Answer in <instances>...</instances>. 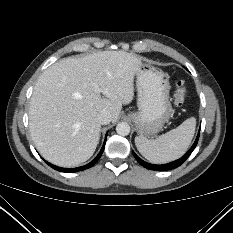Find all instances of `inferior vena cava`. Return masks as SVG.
<instances>
[{
    "label": "inferior vena cava",
    "mask_w": 233,
    "mask_h": 233,
    "mask_svg": "<svg viewBox=\"0 0 233 233\" xmlns=\"http://www.w3.org/2000/svg\"><path fill=\"white\" fill-rule=\"evenodd\" d=\"M98 120L100 124L107 125L111 121V115L108 112L104 111L98 115Z\"/></svg>",
    "instance_id": "obj_1"
}]
</instances>
